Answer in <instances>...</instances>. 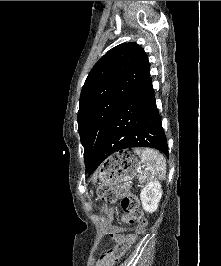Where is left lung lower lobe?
<instances>
[{"mask_svg":"<svg viewBox=\"0 0 221 266\" xmlns=\"http://www.w3.org/2000/svg\"><path fill=\"white\" fill-rule=\"evenodd\" d=\"M133 147H150L168 155L167 139L149 76L126 97L114 116L92 163L89 175L110 155Z\"/></svg>","mask_w":221,"mask_h":266,"instance_id":"left-lung-lower-lobe-1","label":"left lung lower lobe"}]
</instances>
